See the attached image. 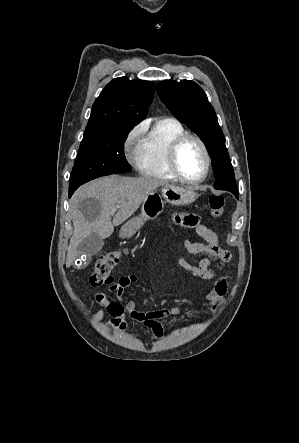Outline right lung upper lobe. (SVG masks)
Wrapping results in <instances>:
<instances>
[{
  "instance_id": "obj_1",
  "label": "right lung upper lobe",
  "mask_w": 299,
  "mask_h": 443,
  "mask_svg": "<svg viewBox=\"0 0 299 443\" xmlns=\"http://www.w3.org/2000/svg\"><path fill=\"white\" fill-rule=\"evenodd\" d=\"M154 95V85L126 77L108 83L93 104L85 133L114 126H134L148 112Z\"/></svg>"
}]
</instances>
